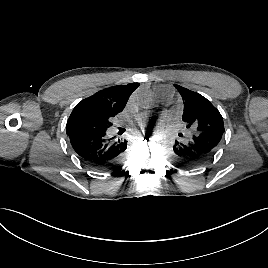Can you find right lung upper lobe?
Segmentation results:
<instances>
[{
  "instance_id": "1",
  "label": "right lung upper lobe",
  "mask_w": 268,
  "mask_h": 268,
  "mask_svg": "<svg viewBox=\"0 0 268 268\" xmlns=\"http://www.w3.org/2000/svg\"><path fill=\"white\" fill-rule=\"evenodd\" d=\"M138 86L139 83H129L100 90L79 102L73 111L89 110L117 115L124 109L130 95Z\"/></svg>"
}]
</instances>
